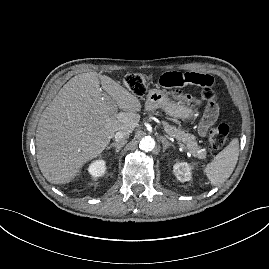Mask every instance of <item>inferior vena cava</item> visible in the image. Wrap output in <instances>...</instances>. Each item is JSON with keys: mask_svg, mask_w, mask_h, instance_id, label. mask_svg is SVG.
Masks as SVG:
<instances>
[{"mask_svg": "<svg viewBox=\"0 0 269 269\" xmlns=\"http://www.w3.org/2000/svg\"><path fill=\"white\" fill-rule=\"evenodd\" d=\"M129 136V132L124 131V130H119L115 133L114 139L117 142H126V139Z\"/></svg>", "mask_w": 269, "mask_h": 269, "instance_id": "1", "label": "inferior vena cava"}]
</instances>
